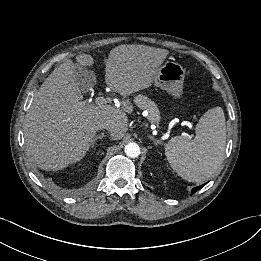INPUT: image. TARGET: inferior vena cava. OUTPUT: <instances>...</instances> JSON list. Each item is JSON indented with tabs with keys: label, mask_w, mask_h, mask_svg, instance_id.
<instances>
[{
	"label": "inferior vena cava",
	"mask_w": 261,
	"mask_h": 261,
	"mask_svg": "<svg viewBox=\"0 0 261 261\" xmlns=\"http://www.w3.org/2000/svg\"><path fill=\"white\" fill-rule=\"evenodd\" d=\"M99 129H107L108 131H111L112 127L108 123H103V124L100 125Z\"/></svg>",
	"instance_id": "inferior-vena-cava-1"
}]
</instances>
